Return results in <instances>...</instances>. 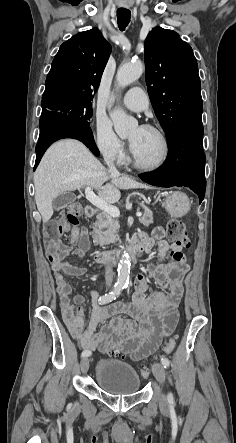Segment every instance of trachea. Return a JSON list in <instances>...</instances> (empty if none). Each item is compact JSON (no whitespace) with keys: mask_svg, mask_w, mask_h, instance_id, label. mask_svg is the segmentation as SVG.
Here are the masks:
<instances>
[{"mask_svg":"<svg viewBox=\"0 0 236 443\" xmlns=\"http://www.w3.org/2000/svg\"><path fill=\"white\" fill-rule=\"evenodd\" d=\"M131 18V12L128 9L120 8L117 10V23L121 31H124L128 26Z\"/></svg>","mask_w":236,"mask_h":443,"instance_id":"3493384b","label":"trachea"}]
</instances>
